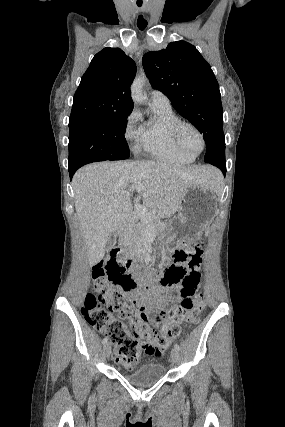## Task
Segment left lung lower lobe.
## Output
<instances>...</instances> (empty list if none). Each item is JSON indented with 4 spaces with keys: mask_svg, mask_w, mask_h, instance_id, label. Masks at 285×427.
I'll use <instances>...</instances> for the list:
<instances>
[{
    "mask_svg": "<svg viewBox=\"0 0 285 427\" xmlns=\"http://www.w3.org/2000/svg\"><path fill=\"white\" fill-rule=\"evenodd\" d=\"M211 164L219 168L224 175L226 174L225 154L213 158Z\"/></svg>",
    "mask_w": 285,
    "mask_h": 427,
    "instance_id": "obj_1",
    "label": "left lung lower lobe"
}]
</instances>
